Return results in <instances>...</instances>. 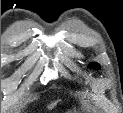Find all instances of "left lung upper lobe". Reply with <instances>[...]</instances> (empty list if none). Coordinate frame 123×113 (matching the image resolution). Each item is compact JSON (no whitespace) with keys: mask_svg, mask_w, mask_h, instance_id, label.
<instances>
[{"mask_svg":"<svg viewBox=\"0 0 123 113\" xmlns=\"http://www.w3.org/2000/svg\"><path fill=\"white\" fill-rule=\"evenodd\" d=\"M89 67L92 68V69H100V66L96 63L90 64Z\"/></svg>","mask_w":123,"mask_h":113,"instance_id":"obj_1","label":"left lung upper lobe"}]
</instances>
